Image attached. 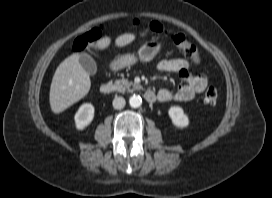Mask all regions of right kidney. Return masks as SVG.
Listing matches in <instances>:
<instances>
[{
    "mask_svg": "<svg viewBox=\"0 0 272 198\" xmlns=\"http://www.w3.org/2000/svg\"><path fill=\"white\" fill-rule=\"evenodd\" d=\"M94 106L90 103L82 104L75 114V125L78 130L86 128L94 118Z\"/></svg>",
    "mask_w": 272,
    "mask_h": 198,
    "instance_id": "right-kidney-1",
    "label": "right kidney"
}]
</instances>
